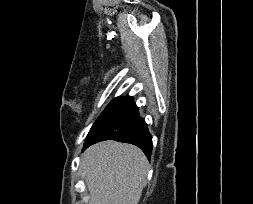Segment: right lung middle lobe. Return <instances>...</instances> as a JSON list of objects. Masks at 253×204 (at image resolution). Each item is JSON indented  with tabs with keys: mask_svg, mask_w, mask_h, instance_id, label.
<instances>
[{
	"mask_svg": "<svg viewBox=\"0 0 253 204\" xmlns=\"http://www.w3.org/2000/svg\"><path fill=\"white\" fill-rule=\"evenodd\" d=\"M128 98H129L128 96L123 98L117 97L114 100H112L93 124L90 132L88 133L87 139L91 136L94 130Z\"/></svg>",
	"mask_w": 253,
	"mask_h": 204,
	"instance_id": "dd1d6c3e",
	"label": "right lung middle lobe"
}]
</instances>
